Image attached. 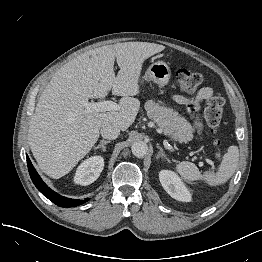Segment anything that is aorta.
<instances>
[{
    "instance_id": "762f6f07",
    "label": "aorta",
    "mask_w": 262,
    "mask_h": 262,
    "mask_svg": "<svg viewBox=\"0 0 262 262\" xmlns=\"http://www.w3.org/2000/svg\"><path fill=\"white\" fill-rule=\"evenodd\" d=\"M131 151L135 157L142 158L148 152V145L143 141H136L132 144Z\"/></svg>"
}]
</instances>
